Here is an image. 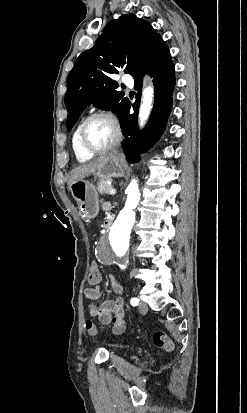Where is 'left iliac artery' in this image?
<instances>
[{
    "instance_id": "1",
    "label": "left iliac artery",
    "mask_w": 247,
    "mask_h": 413,
    "mask_svg": "<svg viewBox=\"0 0 247 413\" xmlns=\"http://www.w3.org/2000/svg\"><path fill=\"white\" fill-rule=\"evenodd\" d=\"M132 306H137L139 304V299L137 298H132L130 301Z\"/></svg>"
}]
</instances>
